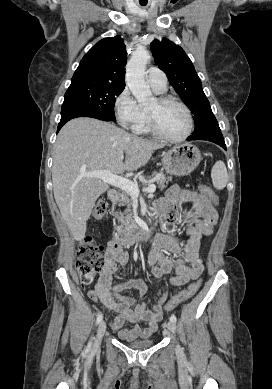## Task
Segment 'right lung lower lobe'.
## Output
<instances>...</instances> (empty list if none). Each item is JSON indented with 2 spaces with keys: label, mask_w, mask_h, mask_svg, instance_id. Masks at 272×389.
I'll return each instance as SVG.
<instances>
[{
  "label": "right lung lower lobe",
  "mask_w": 272,
  "mask_h": 389,
  "mask_svg": "<svg viewBox=\"0 0 272 389\" xmlns=\"http://www.w3.org/2000/svg\"><path fill=\"white\" fill-rule=\"evenodd\" d=\"M76 117H92L103 121H113L110 118H107L103 115H101L98 112L92 111L90 109L86 108H77V107H71V108H64L61 110V120L59 122L57 132L62 128V126L69 120L76 118Z\"/></svg>",
  "instance_id": "right-lung-lower-lobe-1"
}]
</instances>
